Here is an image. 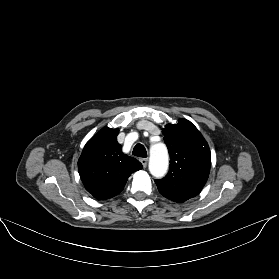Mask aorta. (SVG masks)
Wrapping results in <instances>:
<instances>
[{
	"mask_svg": "<svg viewBox=\"0 0 279 279\" xmlns=\"http://www.w3.org/2000/svg\"><path fill=\"white\" fill-rule=\"evenodd\" d=\"M168 164V151L165 144L161 142L153 144L150 148V173L157 178L163 177L167 172Z\"/></svg>",
	"mask_w": 279,
	"mask_h": 279,
	"instance_id": "aorta-1",
	"label": "aorta"
}]
</instances>
